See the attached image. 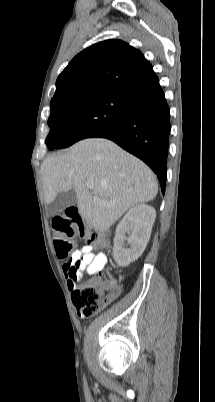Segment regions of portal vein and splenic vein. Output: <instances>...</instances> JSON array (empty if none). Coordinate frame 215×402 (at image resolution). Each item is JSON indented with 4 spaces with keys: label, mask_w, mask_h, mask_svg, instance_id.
Returning <instances> with one entry per match:
<instances>
[{
    "label": "portal vein and splenic vein",
    "mask_w": 215,
    "mask_h": 402,
    "mask_svg": "<svg viewBox=\"0 0 215 402\" xmlns=\"http://www.w3.org/2000/svg\"><path fill=\"white\" fill-rule=\"evenodd\" d=\"M86 186H87L88 188H92V187H93L90 183H87Z\"/></svg>",
    "instance_id": "1"
}]
</instances>
